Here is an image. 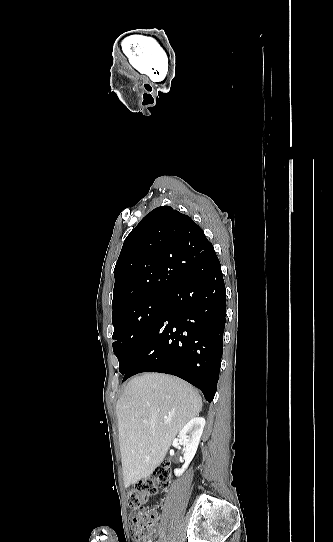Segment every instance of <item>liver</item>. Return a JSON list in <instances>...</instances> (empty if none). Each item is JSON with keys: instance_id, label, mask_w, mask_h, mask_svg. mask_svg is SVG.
Wrapping results in <instances>:
<instances>
[{"instance_id": "1", "label": "liver", "mask_w": 333, "mask_h": 542, "mask_svg": "<svg viewBox=\"0 0 333 542\" xmlns=\"http://www.w3.org/2000/svg\"><path fill=\"white\" fill-rule=\"evenodd\" d=\"M202 406L197 390L175 376L145 372L130 380L116 406L125 488L153 474Z\"/></svg>"}]
</instances>
